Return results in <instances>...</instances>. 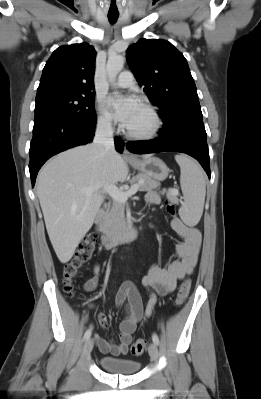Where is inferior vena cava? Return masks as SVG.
Here are the masks:
<instances>
[{
  "instance_id": "602c4592",
  "label": "inferior vena cava",
  "mask_w": 261,
  "mask_h": 399,
  "mask_svg": "<svg viewBox=\"0 0 261 399\" xmlns=\"http://www.w3.org/2000/svg\"><path fill=\"white\" fill-rule=\"evenodd\" d=\"M93 142L108 152L114 151L113 128L110 121H104L97 125Z\"/></svg>"
}]
</instances>
